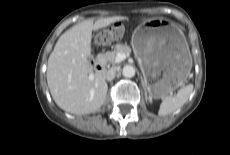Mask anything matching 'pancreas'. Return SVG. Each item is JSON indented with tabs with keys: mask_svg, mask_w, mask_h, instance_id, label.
Instances as JSON below:
<instances>
[{
	"mask_svg": "<svg viewBox=\"0 0 230 155\" xmlns=\"http://www.w3.org/2000/svg\"><path fill=\"white\" fill-rule=\"evenodd\" d=\"M131 49L127 45L117 44L114 47L113 51L106 52L100 55V59L108 65H113L115 63V59L118 53H124L125 55H129Z\"/></svg>",
	"mask_w": 230,
	"mask_h": 155,
	"instance_id": "obj_1",
	"label": "pancreas"
}]
</instances>
